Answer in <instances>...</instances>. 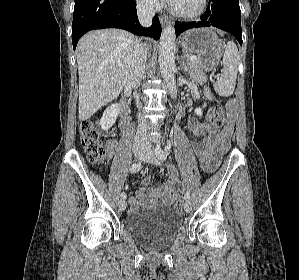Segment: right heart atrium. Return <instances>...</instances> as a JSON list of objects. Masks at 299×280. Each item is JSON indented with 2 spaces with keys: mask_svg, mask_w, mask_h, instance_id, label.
Returning a JSON list of instances; mask_svg holds the SVG:
<instances>
[{
  "mask_svg": "<svg viewBox=\"0 0 299 280\" xmlns=\"http://www.w3.org/2000/svg\"><path fill=\"white\" fill-rule=\"evenodd\" d=\"M139 4L146 8H154L158 5L157 0H138Z\"/></svg>",
  "mask_w": 299,
  "mask_h": 280,
  "instance_id": "right-heart-atrium-1",
  "label": "right heart atrium"
}]
</instances>
